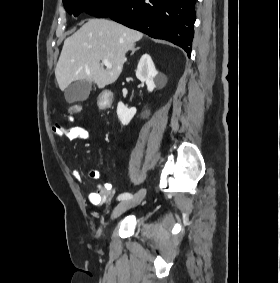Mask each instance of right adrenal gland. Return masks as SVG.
I'll list each match as a JSON object with an SVG mask.
<instances>
[{
	"mask_svg": "<svg viewBox=\"0 0 280 283\" xmlns=\"http://www.w3.org/2000/svg\"><path fill=\"white\" fill-rule=\"evenodd\" d=\"M139 49H140V47L133 48V49H132V52H131V55H133V54L135 53V51H137V50H139Z\"/></svg>",
	"mask_w": 280,
	"mask_h": 283,
	"instance_id": "1",
	"label": "right adrenal gland"
}]
</instances>
